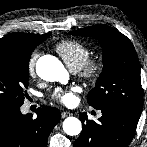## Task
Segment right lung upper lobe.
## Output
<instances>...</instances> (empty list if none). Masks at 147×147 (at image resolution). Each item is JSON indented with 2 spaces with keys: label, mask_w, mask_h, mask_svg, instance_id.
<instances>
[{
  "label": "right lung upper lobe",
  "mask_w": 147,
  "mask_h": 147,
  "mask_svg": "<svg viewBox=\"0 0 147 147\" xmlns=\"http://www.w3.org/2000/svg\"><path fill=\"white\" fill-rule=\"evenodd\" d=\"M49 33L44 35L30 34V33H11L0 39V44H12V45H29L40 40H43Z\"/></svg>",
  "instance_id": "obj_1"
}]
</instances>
